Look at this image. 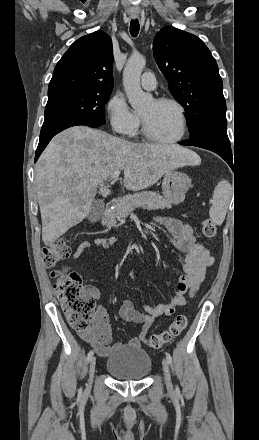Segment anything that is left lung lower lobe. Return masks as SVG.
Listing matches in <instances>:
<instances>
[{
  "instance_id": "obj_1",
  "label": "left lung lower lobe",
  "mask_w": 259,
  "mask_h": 440,
  "mask_svg": "<svg viewBox=\"0 0 259 440\" xmlns=\"http://www.w3.org/2000/svg\"><path fill=\"white\" fill-rule=\"evenodd\" d=\"M181 145L196 146L217 153L230 166L232 165V152L227 136V125L211 123L203 126L189 140L180 142Z\"/></svg>"
}]
</instances>
